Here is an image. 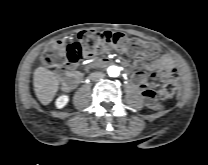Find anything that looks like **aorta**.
Returning a JSON list of instances; mask_svg holds the SVG:
<instances>
[{"mask_svg":"<svg viewBox=\"0 0 208 165\" xmlns=\"http://www.w3.org/2000/svg\"><path fill=\"white\" fill-rule=\"evenodd\" d=\"M107 72L110 77H117L120 74V68L118 66H110Z\"/></svg>","mask_w":208,"mask_h":165,"instance_id":"obj_1","label":"aorta"}]
</instances>
